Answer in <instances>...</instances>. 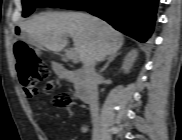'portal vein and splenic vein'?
Returning a JSON list of instances; mask_svg holds the SVG:
<instances>
[{
  "instance_id": "1",
  "label": "portal vein and splenic vein",
  "mask_w": 182,
  "mask_h": 140,
  "mask_svg": "<svg viewBox=\"0 0 182 140\" xmlns=\"http://www.w3.org/2000/svg\"><path fill=\"white\" fill-rule=\"evenodd\" d=\"M66 57H67V59L73 60L75 62L78 61V56L74 50H68L66 52Z\"/></svg>"
}]
</instances>
